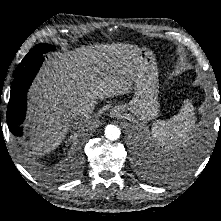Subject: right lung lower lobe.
Instances as JSON below:
<instances>
[{
  "label": "right lung lower lobe",
  "mask_w": 221,
  "mask_h": 221,
  "mask_svg": "<svg viewBox=\"0 0 221 221\" xmlns=\"http://www.w3.org/2000/svg\"><path fill=\"white\" fill-rule=\"evenodd\" d=\"M42 61L43 58L39 57L23 67L18 66L14 71L7 110V124L14 136L23 134L21 124L25 119L27 91Z\"/></svg>",
  "instance_id": "obj_1"
}]
</instances>
